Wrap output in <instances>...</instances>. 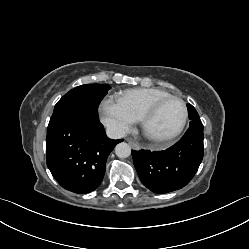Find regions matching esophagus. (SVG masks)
<instances>
[{
    "mask_svg": "<svg viewBox=\"0 0 249 249\" xmlns=\"http://www.w3.org/2000/svg\"><path fill=\"white\" fill-rule=\"evenodd\" d=\"M127 142L134 148V149H136V150H138V149H140V146H139V144L138 143H136V142H134V141H132V140H127Z\"/></svg>",
    "mask_w": 249,
    "mask_h": 249,
    "instance_id": "1",
    "label": "esophagus"
}]
</instances>
